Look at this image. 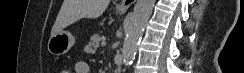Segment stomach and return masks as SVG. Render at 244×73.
I'll return each instance as SVG.
<instances>
[{"label":"stomach","instance_id":"0dacf381","mask_svg":"<svg viewBox=\"0 0 244 73\" xmlns=\"http://www.w3.org/2000/svg\"><path fill=\"white\" fill-rule=\"evenodd\" d=\"M75 44V37L68 31H60L51 36L48 41V51L52 55L60 56L66 54Z\"/></svg>","mask_w":244,"mask_h":73}]
</instances>
